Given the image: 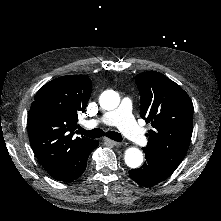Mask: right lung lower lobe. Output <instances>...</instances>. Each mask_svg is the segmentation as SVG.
I'll use <instances>...</instances> for the list:
<instances>
[{
  "label": "right lung lower lobe",
  "mask_w": 221,
  "mask_h": 221,
  "mask_svg": "<svg viewBox=\"0 0 221 221\" xmlns=\"http://www.w3.org/2000/svg\"><path fill=\"white\" fill-rule=\"evenodd\" d=\"M97 146H98V141L94 140L90 148L86 149L85 152H83L82 155L78 157L77 160L74 161L69 168H67L62 174L53 178L58 181L71 182L77 179L78 177H80L86 168L89 154Z\"/></svg>",
  "instance_id": "1"
}]
</instances>
